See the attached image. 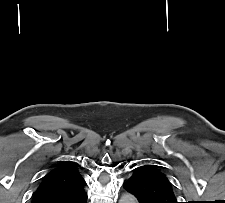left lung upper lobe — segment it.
<instances>
[{"instance_id": "5c2ea615", "label": "left lung upper lobe", "mask_w": 225, "mask_h": 203, "mask_svg": "<svg viewBox=\"0 0 225 203\" xmlns=\"http://www.w3.org/2000/svg\"><path fill=\"white\" fill-rule=\"evenodd\" d=\"M127 181L147 203H177L171 182L153 165L135 168Z\"/></svg>"}]
</instances>
